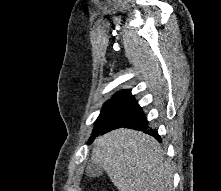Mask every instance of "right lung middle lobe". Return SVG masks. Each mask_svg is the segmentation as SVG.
I'll use <instances>...</instances> for the list:
<instances>
[{
  "instance_id": "obj_1",
  "label": "right lung middle lobe",
  "mask_w": 221,
  "mask_h": 191,
  "mask_svg": "<svg viewBox=\"0 0 221 191\" xmlns=\"http://www.w3.org/2000/svg\"><path fill=\"white\" fill-rule=\"evenodd\" d=\"M116 102L117 101H110L104 104L103 109L95 122L93 134L89 140H92L100 132L102 128V122L104 121L105 117L107 116V114L109 113V111L112 109L113 105Z\"/></svg>"
}]
</instances>
